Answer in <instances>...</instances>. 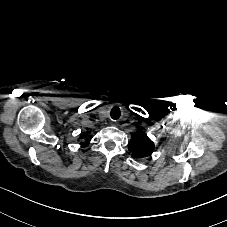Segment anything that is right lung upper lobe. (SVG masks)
<instances>
[{"label": "right lung upper lobe", "instance_id": "cb5924a9", "mask_svg": "<svg viewBox=\"0 0 227 227\" xmlns=\"http://www.w3.org/2000/svg\"><path fill=\"white\" fill-rule=\"evenodd\" d=\"M86 135H87V133L83 134V135L81 136V138H83V136L86 137ZM88 144H89V139H86L85 142H81V146H82V147H85V146H87Z\"/></svg>", "mask_w": 227, "mask_h": 227}]
</instances>
